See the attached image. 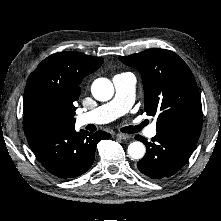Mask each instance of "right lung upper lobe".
<instances>
[{"mask_svg": "<svg viewBox=\"0 0 221 221\" xmlns=\"http://www.w3.org/2000/svg\"><path fill=\"white\" fill-rule=\"evenodd\" d=\"M103 58L78 52H59L43 60L30 74L24 91V110L28 101L36 96L50 99L60 111V127L73 128L75 125L74 103L80 95L83 78L96 71ZM38 123L30 120L24 111L23 127Z\"/></svg>", "mask_w": 221, "mask_h": 221, "instance_id": "obj_1", "label": "right lung upper lobe"}]
</instances>
